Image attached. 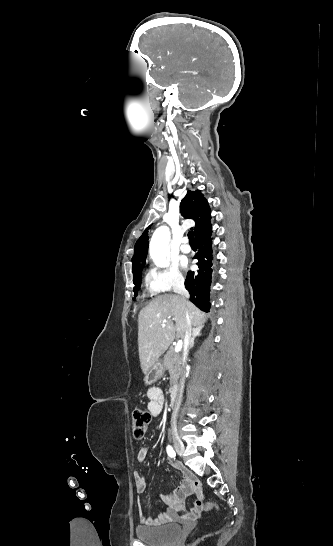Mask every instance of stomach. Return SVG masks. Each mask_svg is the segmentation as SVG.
<instances>
[{
  "mask_svg": "<svg viewBox=\"0 0 333 546\" xmlns=\"http://www.w3.org/2000/svg\"><path fill=\"white\" fill-rule=\"evenodd\" d=\"M164 375V367L162 361L158 360L145 375L146 384H152Z\"/></svg>",
  "mask_w": 333,
  "mask_h": 546,
  "instance_id": "obj_1",
  "label": "stomach"
}]
</instances>
